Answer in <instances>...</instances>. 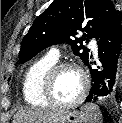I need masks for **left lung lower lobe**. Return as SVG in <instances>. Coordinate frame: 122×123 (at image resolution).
Masks as SVG:
<instances>
[{"label": "left lung lower lobe", "mask_w": 122, "mask_h": 123, "mask_svg": "<svg viewBox=\"0 0 122 123\" xmlns=\"http://www.w3.org/2000/svg\"><path fill=\"white\" fill-rule=\"evenodd\" d=\"M98 57L101 64L98 69H91V59L87 64L93 84L86 102L112 99L122 84V26L118 15L111 19L99 37Z\"/></svg>", "instance_id": "1"}]
</instances>
